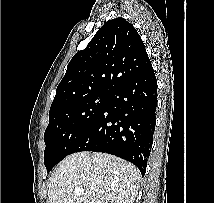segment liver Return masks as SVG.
<instances>
[{
	"instance_id": "6515ba94",
	"label": "liver",
	"mask_w": 214,
	"mask_h": 203,
	"mask_svg": "<svg viewBox=\"0 0 214 203\" xmlns=\"http://www.w3.org/2000/svg\"><path fill=\"white\" fill-rule=\"evenodd\" d=\"M139 170L116 156L78 152L67 156L50 180L49 203H133ZM82 188L83 195L75 189Z\"/></svg>"
}]
</instances>
